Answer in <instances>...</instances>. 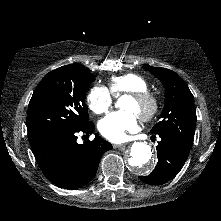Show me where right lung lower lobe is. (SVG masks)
Here are the masks:
<instances>
[{
  "label": "right lung lower lobe",
  "mask_w": 221,
  "mask_h": 221,
  "mask_svg": "<svg viewBox=\"0 0 221 221\" xmlns=\"http://www.w3.org/2000/svg\"><path fill=\"white\" fill-rule=\"evenodd\" d=\"M80 131L91 134L94 124L88 122L78 130L50 134L31 144L43 174L64 189H77L89 183L101 156L113 148L98 135L93 141L78 144L76 133Z\"/></svg>",
  "instance_id": "1"
}]
</instances>
